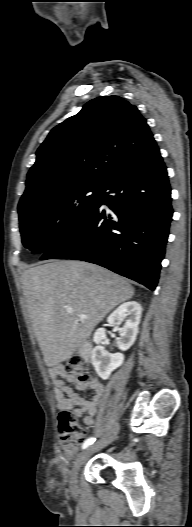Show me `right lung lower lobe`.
<instances>
[{
    "label": "right lung lower lobe",
    "mask_w": 192,
    "mask_h": 527,
    "mask_svg": "<svg viewBox=\"0 0 192 527\" xmlns=\"http://www.w3.org/2000/svg\"><path fill=\"white\" fill-rule=\"evenodd\" d=\"M172 214L166 166L153 139L103 185L99 201L87 218L41 260L75 259L98 264L153 291Z\"/></svg>",
    "instance_id": "right-lung-lower-lobe-1"
}]
</instances>
